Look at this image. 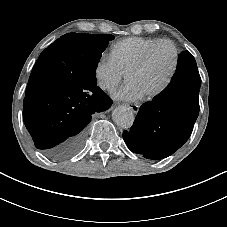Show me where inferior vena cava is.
<instances>
[{
  "instance_id": "obj_1",
  "label": "inferior vena cava",
  "mask_w": 227,
  "mask_h": 227,
  "mask_svg": "<svg viewBox=\"0 0 227 227\" xmlns=\"http://www.w3.org/2000/svg\"><path fill=\"white\" fill-rule=\"evenodd\" d=\"M107 89L110 90V91H114L115 90V85L110 84Z\"/></svg>"
}]
</instances>
